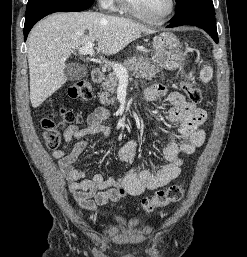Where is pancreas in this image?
I'll use <instances>...</instances> for the list:
<instances>
[{"mask_svg": "<svg viewBox=\"0 0 247 257\" xmlns=\"http://www.w3.org/2000/svg\"><path fill=\"white\" fill-rule=\"evenodd\" d=\"M123 67L127 71L133 72L137 78H143L146 80H152L155 75L159 72L150 61H145L142 58H131L128 61H125ZM118 77L115 72L110 73L104 82L102 83V88L104 91L99 93V99L101 103L105 106L113 105L115 103V97L113 96L116 88L118 86Z\"/></svg>", "mask_w": 247, "mask_h": 257, "instance_id": "cf45deb5", "label": "pancreas"}]
</instances>
